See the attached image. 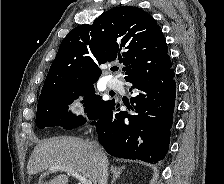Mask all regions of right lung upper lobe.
<instances>
[{"mask_svg":"<svg viewBox=\"0 0 224 184\" xmlns=\"http://www.w3.org/2000/svg\"><path fill=\"white\" fill-rule=\"evenodd\" d=\"M116 59L126 66L125 80L171 64L160 27L150 14L121 6L106 11L92 25L71 30L60 44L39 101L71 85L96 82L101 75L98 65Z\"/></svg>","mask_w":224,"mask_h":184,"instance_id":"cb5924a9","label":"right lung upper lobe"}]
</instances>
